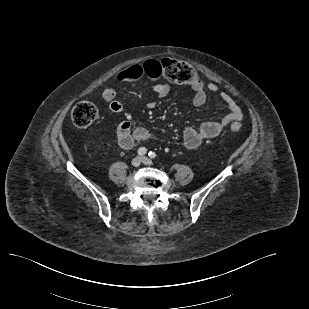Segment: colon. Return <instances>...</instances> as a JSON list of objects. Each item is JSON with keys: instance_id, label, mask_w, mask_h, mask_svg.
I'll return each mask as SVG.
<instances>
[{"instance_id": "1", "label": "colon", "mask_w": 309, "mask_h": 309, "mask_svg": "<svg viewBox=\"0 0 309 309\" xmlns=\"http://www.w3.org/2000/svg\"><path fill=\"white\" fill-rule=\"evenodd\" d=\"M149 65L155 66L159 74L167 80L181 85H190L200 81L197 71L188 63L164 58L160 61H149ZM97 108L88 101H81L77 103L71 111V119L75 126L85 128L91 125L97 117ZM242 128L239 122H233L230 129L233 132H238Z\"/></svg>"}]
</instances>
